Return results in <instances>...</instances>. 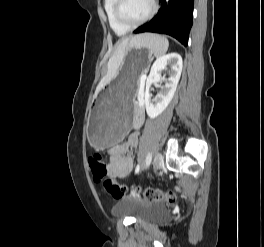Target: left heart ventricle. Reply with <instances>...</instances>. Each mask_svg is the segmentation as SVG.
I'll return each mask as SVG.
<instances>
[{
  "label": "left heart ventricle",
  "mask_w": 264,
  "mask_h": 247,
  "mask_svg": "<svg viewBox=\"0 0 264 247\" xmlns=\"http://www.w3.org/2000/svg\"><path fill=\"white\" fill-rule=\"evenodd\" d=\"M150 6L151 0H125L123 12L130 21H137L148 13Z\"/></svg>",
  "instance_id": "obj_1"
}]
</instances>
